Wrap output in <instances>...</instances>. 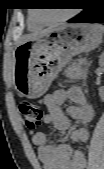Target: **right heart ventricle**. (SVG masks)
Listing matches in <instances>:
<instances>
[{"label":"right heart ventricle","instance_id":"obj_1","mask_svg":"<svg viewBox=\"0 0 104 169\" xmlns=\"http://www.w3.org/2000/svg\"><path fill=\"white\" fill-rule=\"evenodd\" d=\"M44 26L43 23H41L40 21H38V19L36 18V16L31 13L28 17V28L31 31H37L40 30L42 27Z\"/></svg>","mask_w":104,"mask_h":169}]
</instances>
